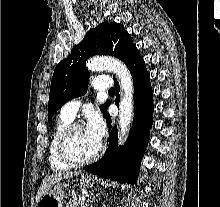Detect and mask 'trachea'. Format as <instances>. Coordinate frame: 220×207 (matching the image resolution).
Listing matches in <instances>:
<instances>
[{
	"mask_svg": "<svg viewBox=\"0 0 220 207\" xmlns=\"http://www.w3.org/2000/svg\"><path fill=\"white\" fill-rule=\"evenodd\" d=\"M115 90H114V88H110L109 90H108V92H114Z\"/></svg>",
	"mask_w": 220,
	"mask_h": 207,
	"instance_id": "1",
	"label": "trachea"
}]
</instances>
